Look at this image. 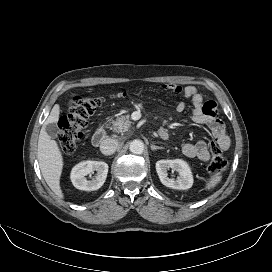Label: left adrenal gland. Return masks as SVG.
<instances>
[{
	"mask_svg": "<svg viewBox=\"0 0 272 272\" xmlns=\"http://www.w3.org/2000/svg\"><path fill=\"white\" fill-rule=\"evenodd\" d=\"M157 149H163V147L151 145V150H152V151H155V150H157Z\"/></svg>",
	"mask_w": 272,
	"mask_h": 272,
	"instance_id": "left-adrenal-gland-1",
	"label": "left adrenal gland"
}]
</instances>
